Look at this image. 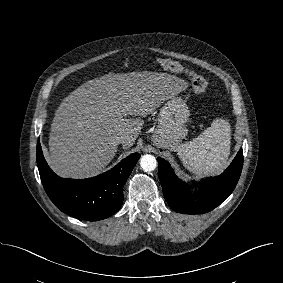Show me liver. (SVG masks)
Wrapping results in <instances>:
<instances>
[{"label": "liver", "mask_w": 283, "mask_h": 283, "mask_svg": "<svg viewBox=\"0 0 283 283\" xmlns=\"http://www.w3.org/2000/svg\"><path fill=\"white\" fill-rule=\"evenodd\" d=\"M186 88L182 79L151 71L109 73L85 82L55 112L50 167L67 178L99 173L117 152L116 137L124 136L123 147L130 148L144 124L141 118Z\"/></svg>", "instance_id": "1"}]
</instances>
